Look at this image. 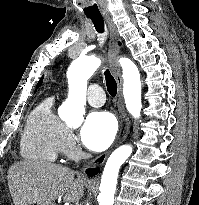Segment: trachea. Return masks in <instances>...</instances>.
<instances>
[{"label":"trachea","mask_w":199,"mask_h":205,"mask_svg":"<svg viewBox=\"0 0 199 205\" xmlns=\"http://www.w3.org/2000/svg\"><path fill=\"white\" fill-rule=\"evenodd\" d=\"M98 33L104 32V21L102 17H89ZM105 80H106V86L109 94L111 96H115L117 94V83L114 79V77L111 75L110 71L107 69L104 72Z\"/></svg>","instance_id":"obj_1"}]
</instances>
